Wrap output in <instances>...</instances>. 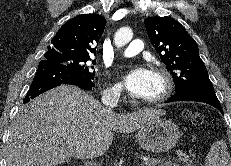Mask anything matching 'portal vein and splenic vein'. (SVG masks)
Masks as SVG:
<instances>
[{"label": "portal vein and splenic vein", "instance_id": "portal-vein-and-splenic-vein-1", "mask_svg": "<svg viewBox=\"0 0 231 166\" xmlns=\"http://www.w3.org/2000/svg\"><path fill=\"white\" fill-rule=\"evenodd\" d=\"M153 160H155V159H150L149 157H143V158H142V161H143L144 163H148V162L153 161Z\"/></svg>", "mask_w": 231, "mask_h": 166}]
</instances>
